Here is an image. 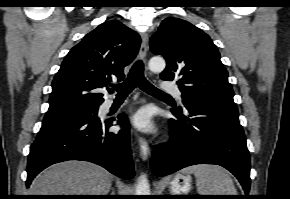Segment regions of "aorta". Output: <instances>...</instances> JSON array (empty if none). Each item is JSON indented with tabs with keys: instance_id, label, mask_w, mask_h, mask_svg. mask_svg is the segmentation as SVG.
Instances as JSON below:
<instances>
[{
	"instance_id": "aorta-1",
	"label": "aorta",
	"mask_w": 290,
	"mask_h": 199,
	"mask_svg": "<svg viewBox=\"0 0 290 199\" xmlns=\"http://www.w3.org/2000/svg\"><path fill=\"white\" fill-rule=\"evenodd\" d=\"M148 65L149 69L152 72L156 73L162 72L166 67L165 60L159 56L152 57L149 60ZM136 195H150V185L147 176L145 174H142L138 179V183L136 186Z\"/></svg>"
}]
</instances>
